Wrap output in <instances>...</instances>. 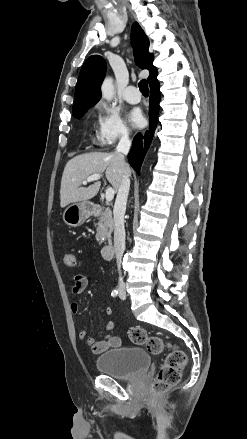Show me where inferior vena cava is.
I'll return each mask as SVG.
<instances>
[{"instance_id": "602c4592", "label": "inferior vena cava", "mask_w": 247, "mask_h": 439, "mask_svg": "<svg viewBox=\"0 0 247 439\" xmlns=\"http://www.w3.org/2000/svg\"><path fill=\"white\" fill-rule=\"evenodd\" d=\"M131 146L128 133H123L118 146L116 148V155L123 166L126 168L127 164L124 159V155L128 154ZM130 189L129 175L123 173L121 184L118 189L113 214H114V249L116 254L117 267L119 271V288H124L123 278L121 276V262L122 256L125 250V228H124V215L126 211V203Z\"/></svg>"}]
</instances>
